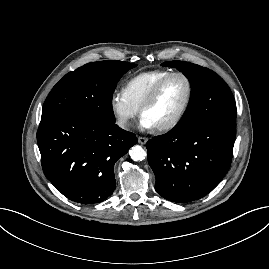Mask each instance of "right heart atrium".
I'll return each mask as SVG.
<instances>
[{
	"instance_id": "obj_1",
	"label": "right heart atrium",
	"mask_w": 269,
	"mask_h": 269,
	"mask_svg": "<svg viewBox=\"0 0 269 269\" xmlns=\"http://www.w3.org/2000/svg\"><path fill=\"white\" fill-rule=\"evenodd\" d=\"M109 104L116 124L121 129L128 130L138 114V109L132 105L122 90H115L111 94Z\"/></svg>"
}]
</instances>
